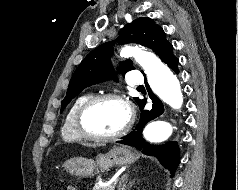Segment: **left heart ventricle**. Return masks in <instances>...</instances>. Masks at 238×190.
<instances>
[{"instance_id":"1","label":"left heart ventricle","mask_w":238,"mask_h":190,"mask_svg":"<svg viewBox=\"0 0 238 190\" xmlns=\"http://www.w3.org/2000/svg\"><path fill=\"white\" fill-rule=\"evenodd\" d=\"M126 107L117 100H105L90 109L85 126L93 133L109 135L119 131L127 122Z\"/></svg>"}]
</instances>
